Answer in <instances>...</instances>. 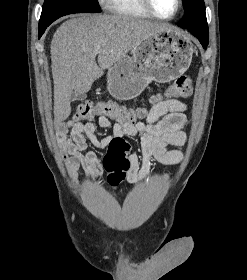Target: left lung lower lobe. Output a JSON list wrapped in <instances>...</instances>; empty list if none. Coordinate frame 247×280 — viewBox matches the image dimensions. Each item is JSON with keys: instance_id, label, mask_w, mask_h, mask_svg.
I'll return each instance as SVG.
<instances>
[{"instance_id": "left-lung-lower-lobe-1", "label": "left lung lower lobe", "mask_w": 247, "mask_h": 280, "mask_svg": "<svg viewBox=\"0 0 247 280\" xmlns=\"http://www.w3.org/2000/svg\"><path fill=\"white\" fill-rule=\"evenodd\" d=\"M178 26H180V27H182L181 25H180V23H178ZM182 28H184V27H182ZM194 36H196L198 39H199V41H200V43L202 44V46H203V48L204 49H206V47H207V45H208V43H209V38H208V36H205V35H203V34H200V33H198V32H196V31H194V30H189Z\"/></svg>"}]
</instances>
